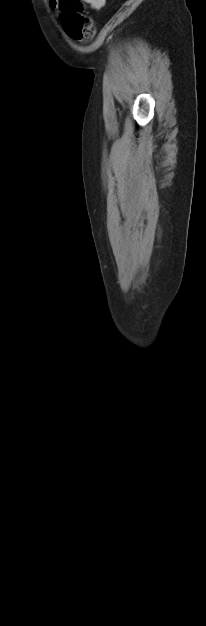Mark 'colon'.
Segmentation results:
<instances>
[{"label": "colon", "instance_id": "obj_1", "mask_svg": "<svg viewBox=\"0 0 206 626\" xmlns=\"http://www.w3.org/2000/svg\"><path fill=\"white\" fill-rule=\"evenodd\" d=\"M59 10L61 23L71 38L89 41L94 37V23L84 15L81 0H59Z\"/></svg>", "mask_w": 206, "mask_h": 626}]
</instances>
